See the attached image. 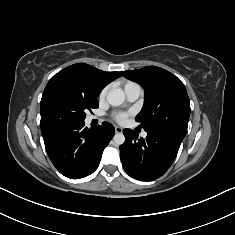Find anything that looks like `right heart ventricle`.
Listing matches in <instances>:
<instances>
[{
  "mask_svg": "<svg viewBox=\"0 0 235 235\" xmlns=\"http://www.w3.org/2000/svg\"><path fill=\"white\" fill-rule=\"evenodd\" d=\"M129 85H137V84L134 83V82H127V83L125 84V86H124V89H125V87H127V86H129Z\"/></svg>",
  "mask_w": 235,
  "mask_h": 235,
  "instance_id": "1",
  "label": "right heart ventricle"
}]
</instances>
